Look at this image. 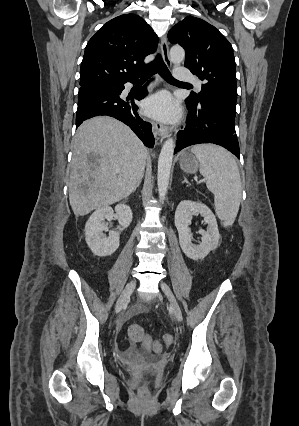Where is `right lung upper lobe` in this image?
<instances>
[{"label":"right lung upper lobe","mask_w":299,"mask_h":426,"mask_svg":"<svg viewBox=\"0 0 299 426\" xmlns=\"http://www.w3.org/2000/svg\"><path fill=\"white\" fill-rule=\"evenodd\" d=\"M158 37L136 14L107 22L88 42L80 68V85H117L137 79L156 50Z\"/></svg>","instance_id":"cb5924a9"}]
</instances>
